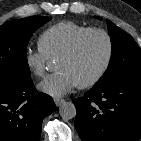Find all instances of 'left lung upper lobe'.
Segmentation results:
<instances>
[{"label":"left lung upper lobe","instance_id":"obj_1","mask_svg":"<svg viewBox=\"0 0 141 141\" xmlns=\"http://www.w3.org/2000/svg\"><path fill=\"white\" fill-rule=\"evenodd\" d=\"M100 19V17H97ZM112 44V56L107 71L94 87L126 78L141 77V49L124 30L107 20Z\"/></svg>","mask_w":141,"mask_h":141}]
</instances>
